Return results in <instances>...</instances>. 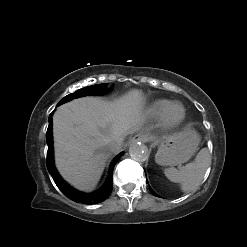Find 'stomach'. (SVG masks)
I'll use <instances>...</instances> for the list:
<instances>
[{
	"label": "stomach",
	"instance_id": "stomach-1",
	"mask_svg": "<svg viewBox=\"0 0 247 247\" xmlns=\"http://www.w3.org/2000/svg\"><path fill=\"white\" fill-rule=\"evenodd\" d=\"M200 136L191 127L163 141L156 154L160 165L175 166L187 162L198 148Z\"/></svg>",
	"mask_w": 247,
	"mask_h": 247
}]
</instances>
